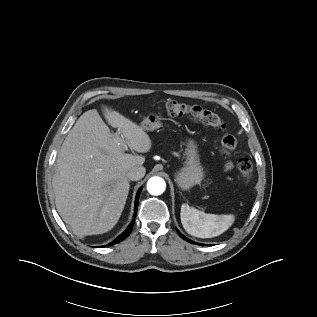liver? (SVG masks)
<instances>
[{"instance_id": "obj_1", "label": "liver", "mask_w": 317, "mask_h": 317, "mask_svg": "<svg viewBox=\"0 0 317 317\" xmlns=\"http://www.w3.org/2000/svg\"><path fill=\"white\" fill-rule=\"evenodd\" d=\"M112 134L96 109L86 111L65 138L56 159L52 185L62 220L84 237L103 234L118 222L130 189L128 171L145 157L126 154L121 143L138 152L152 147L148 134L118 111L102 105Z\"/></svg>"}]
</instances>
